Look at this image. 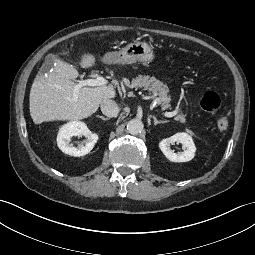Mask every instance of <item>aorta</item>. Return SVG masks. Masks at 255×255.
Masks as SVG:
<instances>
[{"label": "aorta", "mask_w": 255, "mask_h": 255, "mask_svg": "<svg viewBox=\"0 0 255 255\" xmlns=\"http://www.w3.org/2000/svg\"><path fill=\"white\" fill-rule=\"evenodd\" d=\"M143 129V122L139 119H132L127 123V131L132 135L140 134Z\"/></svg>", "instance_id": "1"}]
</instances>
